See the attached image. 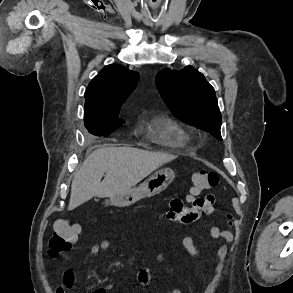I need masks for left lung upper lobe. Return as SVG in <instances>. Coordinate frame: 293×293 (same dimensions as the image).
<instances>
[{
	"instance_id": "left-lung-upper-lobe-1",
	"label": "left lung upper lobe",
	"mask_w": 293,
	"mask_h": 293,
	"mask_svg": "<svg viewBox=\"0 0 293 293\" xmlns=\"http://www.w3.org/2000/svg\"><path fill=\"white\" fill-rule=\"evenodd\" d=\"M155 83L171 112L187 124L210 132L221 140V114L214 88L190 66L182 71L164 69Z\"/></svg>"
}]
</instances>
